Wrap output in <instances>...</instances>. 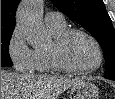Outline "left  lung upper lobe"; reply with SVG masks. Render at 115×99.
I'll list each match as a JSON object with an SVG mask.
<instances>
[{
	"mask_svg": "<svg viewBox=\"0 0 115 99\" xmlns=\"http://www.w3.org/2000/svg\"><path fill=\"white\" fill-rule=\"evenodd\" d=\"M64 14L90 32L103 50L104 77L115 80V32L103 0H51Z\"/></svg>",
	"mask_w": 115,
	"mask_h": 99,
	"instance_id": "obj_1",
	"label": "left lung upper lobe"
}]
</instances>
